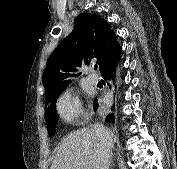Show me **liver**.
<instances>
[{
    "label": "liver",
    "mask_w": 177,
    "mask_h": 169,
    "mask_svg": "<svg viewBox=\"0 0 177 169\" xmlns=\"http://www.w3.org/2000/svg\"><path fill=\"white\" fill-rule=\"evenodd\" d=\"M99 141L92 129L68 134L60 143L50 169H101Z\"/></svg>",
    "instance_id": "1"
}]
</instances>
